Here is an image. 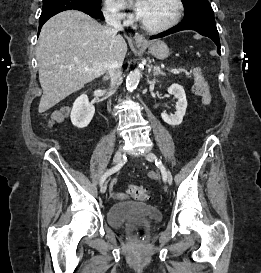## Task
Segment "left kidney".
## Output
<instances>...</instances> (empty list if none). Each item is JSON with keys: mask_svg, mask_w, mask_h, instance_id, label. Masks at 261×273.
<instances>
[{"mask_svg": "<svg viewBox=\"0 0 261 273\" xmlns=\"http://www.w3.org/2000/svg\"><path fill=\"white\" fill-rule=\"evenodd\" d=\"M168 93L174 95V97L177 99L176 112L174 115H168L167 113L162 112L161 118L165 123L171 126H178L182 123L183 117L186 112L187 108L186 94L183 87L179 84H172L168 88Z\"/></svg>", "mask_w": 261, "mask_h": 273, "instance_id": "1", "label": "left kidney"}]
</instances>
